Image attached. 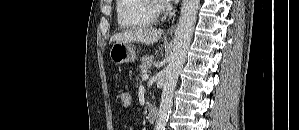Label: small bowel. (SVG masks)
<instances>
[{"label": "small bowel", "instance_id": "obj_1", "mask_svg": "<svg viewBox=\"0 0 299 130\" xmlns=\"http://www.w3.org/2000/svg\"><path fill=\"white\" fill-rule=\"evenodd\" d=\"M128 130H133L132 128H129Z\"/></svg>", "mask_w": 299, "mask_h": 130}]
</instances>
